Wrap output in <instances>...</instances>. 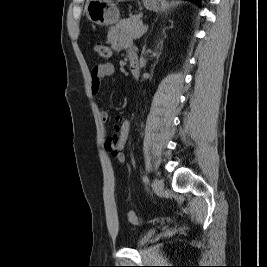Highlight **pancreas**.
Masks as SVG:
<instances>
[{
    "instance_id": "1",
    "label": "pancreas",
    "mask_w": 267,
    "mask_h": 267,
    "mask_svg": "<svg viewBox=\"0 0 267 267\" xmlns=\"http://www.w3.org/2000/svg\"><path fill=\"white\" fill-rule=\"evenodd\" d=\"M141 15H134L121 22V32L129 37L136 39L142 36L143 22Z\"/></svg>"
}]
</instances>
